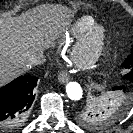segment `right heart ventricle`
Returning a JSON list of instances; mask_svg holds the SVG:
<instances>
[{
    "instance_id": "1",
    "label": "right heart ventricle",
    "mask_w": 133,
    "mask_h": 133,
    "mask_svg": "<svg viewBox=\"0 0 133 133\" xmlns=\"http://www.w3.org/2000/svg\"><path fill=\"white\" fill-rule=\"evenodd\" d=\"M94 23L95 19L93 17L87 15L80 16L67 28L66 36L78 38Z\"/></svg>"
}]
</instances>
